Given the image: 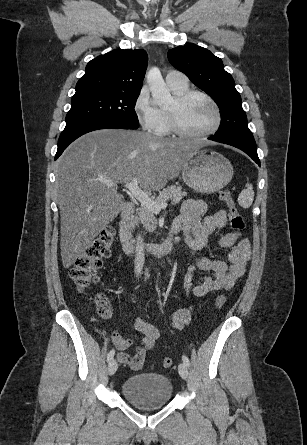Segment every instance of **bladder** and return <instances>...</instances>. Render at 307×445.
<instances>
[{"label":"bladder","instance_id":"31cf9c89","mask_svg":"<svg viewBox=\"0 0 307 445\" xmlns=\"http://www.w3.org/2000/svg\"><path fill=\"white\" fill-rule=\"evenodd\" d=\"M123 397L142 410L159 409L172 399L171 381L160 373H141L128 377L122 384Z\"/></svg>","mask_w":307,"mask_h":445}]
</instances>
